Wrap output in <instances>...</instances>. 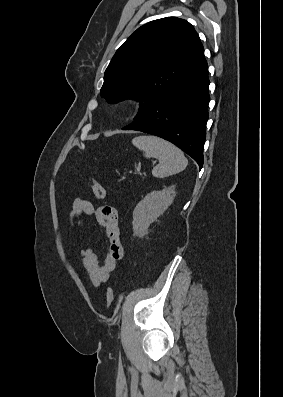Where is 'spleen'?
<instances>
[{"label":"spleen","mask_w":283,"mask_h":397,"mask_svg":"<svg viewBox=\"0 0 283 397\" xmlns=\"http://www.w3.org/2000/svg\"><path fill=\"white\" fill-rule=\"evenodd\" d=\"M132 144L143 151L146 158H158L152 174L156 178H165L179 173L187 167L188 160L184 153L174 144L157 136H138Z\"/></svg>","instance_id":"spleen-1"}]
</instances>
